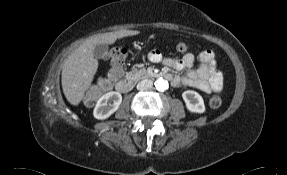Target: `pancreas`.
<instances>
[{"mask_svg":"<svg viewBox=\"0 0 287 175\" xmlns=\"http://www.w3.org/2000/svg\"><path fill=\"white\" fill-rule=\"evenodd\" d=\"M144 74H145V70L140 71L139 73H137V72H132V73H130V75H133V76L136 77V78H138V77H140V76H142V75H144Z\"/></svg>","mask_w":287,"mask_h":175,"instance_id":"cf45deb5","label":"pancreas"}]
</instances>
